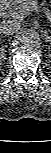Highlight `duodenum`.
Returning a JSON list of instances; mask_svg holds the SVG:
<instances>
[{
	"mask_svg": "<svg viewBox=\"0 0 51 153\" xmlns=\"http://www.w3.org/2000/svg\"><path fill=\"white\" fill-rule=\"evenodd\" d=\"M5 8H6V3H3V4L1 5L0 11H4Z\"/></svg>",
	"mask_w": 51,
	"mask_h": 153,
	"instance_id": "410a0bca",
	"label": "duodenum"
}]
</instances>
